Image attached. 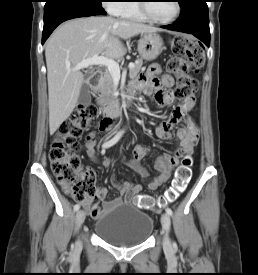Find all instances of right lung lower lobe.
<instances>
[{
    "instance_id": "98d812e1",
    "label": "right lung lower lobe",
    "mask_w": 258,
    "mask_h": 275,
    "mask_svg": "<svg viewBox=\"0 0 258 275\" xmlns=\"http://www.w3.org/2000/svg\"><path fill=\"white\" fill-rule=\"evenodd\" d=\"M101 5L89 0H53L44 7V30L42 44L62 22L93 15H105Z\"/></svg>"
}]
</instances>
